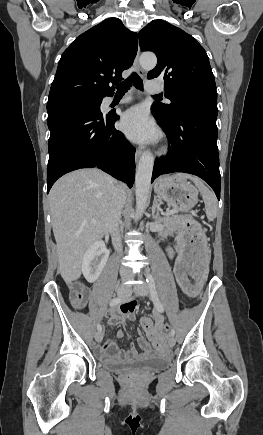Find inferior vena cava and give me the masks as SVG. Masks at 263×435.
I'll return each instance as SVG.
<instances>
[{"mask_svg":"<svg viewBox=\"0 0 263 435\" xmlns=\"http://www.w3.org/2000/svg\"><path fill=\"white\" fill-rule=\"evenodd\" d=\"M125 199L126 197L123 187L121 185H117L108 211L106 226L111 234L112 244L115 250L118 252H121L122 250L119 224ZM120 272L121 274H127L128 270L121 269Z\"/></svg>","mask_w":263,"mask_h":435,"instance_id":"1","label":"inferior vena cava"}]
</instances>
